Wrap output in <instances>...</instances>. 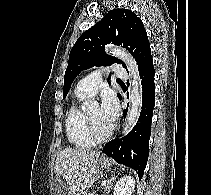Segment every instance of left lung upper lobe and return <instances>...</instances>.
<instances>
[{
    "mask_svg": "<svg viewBox=\"0 0 211 195\" xmlns=\"http://www.w3.org/2000/svg\"><path fill=\"white\" fill-rule=\"evenodd\" d=\"M110 43L125 47L137 61L138 68L152 57L142 20L130 10H111L101 21L85 31L72 47L64 77L63 99L81 71L113 63H122L126 67L121 60L105 53L104 45Z\"/></svg>",
    "mask_w": 211,
    "mask_h": 195,
    "instance_id": "1",
    "label": "left lung upper lobe"
}]
</instances>
